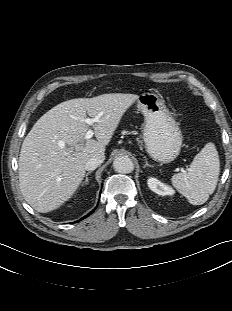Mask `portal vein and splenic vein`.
<instances>
[{
  "label": "portal vein and splenic vein",
  "instance_id": "18ae733b",
  "mask_svg": "<svg viewBox=\"0 0 232 311\" xmlns=\"http://www.w3.org/2000/svg\"><path fill=\"white\" fill-rule=\"evenodd\" d=\"M101 115H102V114H98L95 118H86V119H85V122H86L88 125H93L95 122H98V121H99ZM93 135H94L93 130L89 129V130L86 132L85 140H88V139L92 138ZM59 146L63 148V147L65 146L64 142L60 141V142H59Z\"/></svg>",
  "mask_w": 232,
  "mask_h": 311
}]
</instances>
